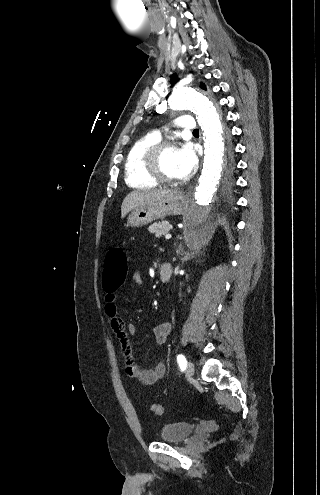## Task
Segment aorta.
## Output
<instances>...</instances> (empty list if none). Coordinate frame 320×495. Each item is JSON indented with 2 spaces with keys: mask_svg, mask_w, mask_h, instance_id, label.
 I'll use <instances>...</instances> for the list:
<instances>
[{
  "mask_svg": "<svg viewBox=\"0 0 320 495\" xmlns=\"http://www.w3.org/2000/svg\"><path fill=\"white\" fill-rule=\"evenodd\" d=\"M168 105L174 110L189 109L196 114L204 136V163L193 202L185 217V241L192 242L194 234L214 207L224 155L223 125L218 106L204 92L195 89H177Z\"/></svg>",
  "mask_w": 320,
  "mask_h": 495,
  "instance_id": "aorta-1",
  "label": "aorta"
}]
</instances>
